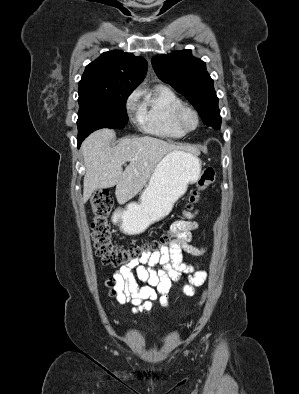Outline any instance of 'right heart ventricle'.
<instances>
[{
	"label": "right heart ventricle",
	"instance_id": "1",
	"mask_svg": "<svg viewBox=\"0 0 299 394\" xmlns=\"http://www.w3.org/2000/svg\"><path fill=\"white\" fill-rule=\"evenodd\" d=\"M142 95L137 120L144 132L168 139L185 135L175 122V112L182 101L173 90L157 85L150 91H143Z\"/></svg>",
	"mask_w": 299,
	"mask_h": 394
}]
</instances>
